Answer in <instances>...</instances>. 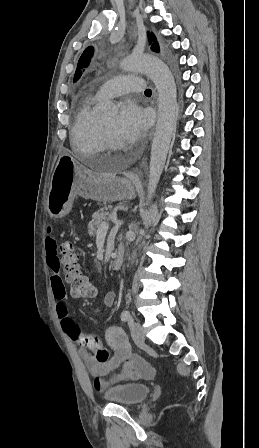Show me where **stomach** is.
Listing matches in <instances>:
<instances>
[{
  "label": "stomach",
  "instance_id": "obj_1",
  "mask_svg": "<svg viewBox=\"0 0 259 448\" xmlns=\"http://www.w3.org/2000/svg\"><path fill=\"white\" fill-rule=\"evenodd\" d=\"M76 160L69 154L60 156L52 174L47 210L51 218H62L67 214V204L75 196Z\"/></svg>",
  "mask_w": 259,
  "mask_h": 448
}]
</instances>
